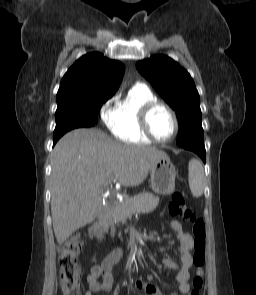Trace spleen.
Listing matches in <instances>:
<instances>
[{
  "instance_id": "obj_1",
  "label": "spleen",
  "mask_w": 256,
  "mask_h": 295,
  "mask_svg": "<svg viewBox=\"0 0 256 295\" xmlns=\"http://www.w3.org/2000/svg\"><path fill=\"white\" fill-rule=\"evenodd\" d=\"M189 187L194 197H200L205 187L203 166L200 162L192 160L189 163Z\"/></svg>"
}]
</instances>
